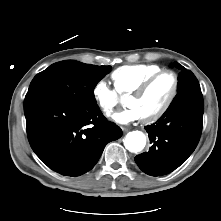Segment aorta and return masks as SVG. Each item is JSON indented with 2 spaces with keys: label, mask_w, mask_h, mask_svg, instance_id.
Listing matches in <instances>:
<instances>
[{
  "label": "aorta",
  "mask_w": 221,
  "mask_h": 221,
  "mask_svg": "<svg viewBox=\"0 0 221 221\" xmlns=\"http://www.w3.org/2000/svg\"><path fill=\"white\" fill-rule=\"evenodd\" d=\"M124 145L130 152L137 153L146 145V136L141 131H132L126 135Z\"/></svg>",
  "instance_id": "aorta-1"
}]
</instances>
